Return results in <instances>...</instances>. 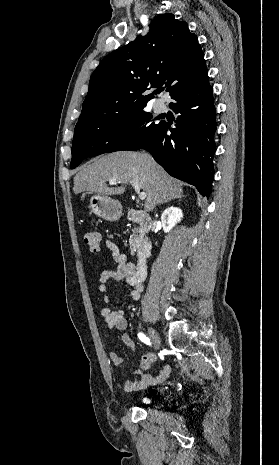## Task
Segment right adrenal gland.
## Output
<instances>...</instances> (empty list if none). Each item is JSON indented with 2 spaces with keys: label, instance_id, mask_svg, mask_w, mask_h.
<instances>
[{
  "label": "right adrenal gland",
  "instance_id": "2a0ac1e0",
  "mask_svg": "<svg viewBox=\"0 0 279 465\" xmlns=\"http://www.w3.org/2000/svg\"><path fill=\"white\" fill-rule=\"evenodd\" d=\"M182 197H184V195H181L179 198H182Z\"/></svg>",
  "mask_w": 279,
  "mask_h": 465
}]
</instances>
